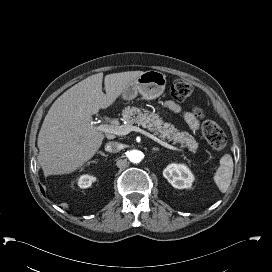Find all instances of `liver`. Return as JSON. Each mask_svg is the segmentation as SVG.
<instances>
[{
	"label": "liver",
	"mask_w": 272,
	"mask_h": 272,
	"mask_svg": "<svg viewBox=\"0 0 272 272\" xmlns=\"http://www.w3.org/2000/svg\"><path fill=\"white\" fill-rule=\"evenodd\" d=\"M143 71L87 77L64 92L50 107L38 135V161L44 175L75 171L100 148L104 134L96 129L92 115L112 105Z\"/></svg>",
	"instance_id": "6515ba94"
}]
</instances>
